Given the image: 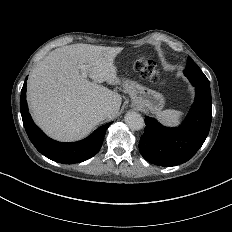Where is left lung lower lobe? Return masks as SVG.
<instances>
[{
  "label": "left lung lower lobe",
  "mask_w": 232,
  "mask_h": 232,
  "mask_svg": "<svg viewBox=\"0 0 232 232\" xmlns=\"http://www.w3.org/2000/svg\"><path fill=\"white\" fill-rule=\"evenodd\" d=\"M196 96L184 122L174 128L162 126L155 119L146 117L144 134L139 150L150 163L171 167L190 160L208 136L211 119V91L195 88Z\"/></svg>",
  "instance_id": "left-lung-lower-lobe-1"
}]
</instances>
